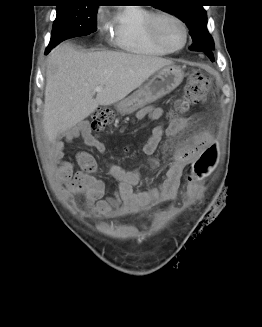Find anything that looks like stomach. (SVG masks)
Listing matches in <instances>:
<instances>
[{"mask_svg": "<svg viewBox=\"0 0 262 327\" xmlns=\"http://www.w3.org/2000/svg\"><path fill=\"white\" fill-rule=\"evenodd\" d=\"M184 78L182 69L168 65L157 71L153 77L132 95L117 103L116 108L122 115L132 114L139 108L151 104L173 91Z\"/></svg>", "mask_w": 262, "mask_h": 327, "instance_id": "0dacf381", "label": "stomach"}]
</instances>
